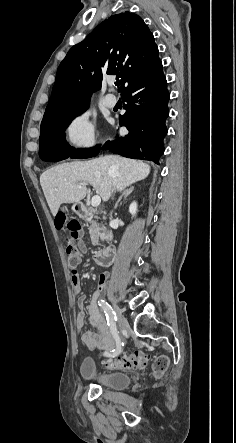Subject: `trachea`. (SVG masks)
I'll use <instances>...</instances> for the list:
<instances>
[{
	"mask_svg": "<svg viewBox=\"0 0 236 443\" xmlns=\"http://www.w3.org/2000/svg\"><path fill=\"white\" fill-rule=\"evenodd\" d=\"M115 85L118 87L119 85H120V83L119 82H117V83H115Z\"/></svg>",
	"mask_w": 236,
	"mask_h": 443,
	"instance_id": "1",
	"label": "trachea"
}]
</instances>
